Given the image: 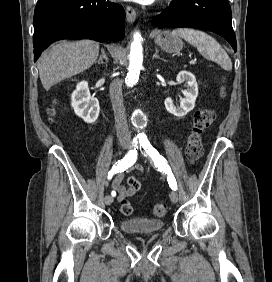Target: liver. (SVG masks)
I'll return each mask as SVG.
<instances>
[{"mask_svg": "<svg viewBox=\"0 0 272 282\" xmlns=\"http://www.w3.org/2000/svg\"><path fill=\"white\" fill-rule=\"evenodd\" d=\"M99 54V44L90 40L62 41L45 51L38 63L41 83L49 90L60 81L90 68Z\"/></svg>", "mask_w": 272, "mask_h": 282, "instance_id": "liver-1", "label": "liver"}]
</instances>
